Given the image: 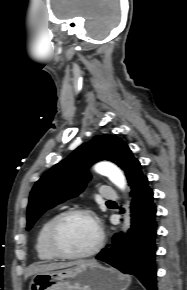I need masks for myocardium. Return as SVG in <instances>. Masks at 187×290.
I'll use <instances>...</instances> for the list:
<instances>
[{"label": "myocardium", "mask_w": 187, "mask_h": 290, "mask_svg": "<svg viewBox=\"0 0 187 290\" xmlns=\"http://www.w3.org/2000/svg\"><path fill=\"white\" fill-rule=\"evenodd\" d=\"M71 216H84L90 219L96 230H97V240L94 246L82 253H70L65 250H63L59 243L57 238V232L61 225V223L66 220L67 218ZM104 241V233L102 230V227L96 217V215L88 210L83 208H74L66 210L60 214H58L53 221L51 222L48 232H47V244L50 249V251L57 257L61 259H86L94 256L102 247Z\"/></svg>", "instance_id": "1"}]
</instances>
